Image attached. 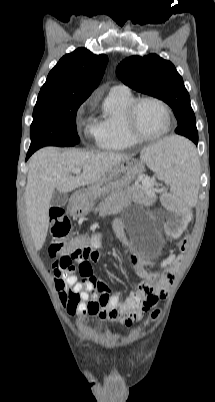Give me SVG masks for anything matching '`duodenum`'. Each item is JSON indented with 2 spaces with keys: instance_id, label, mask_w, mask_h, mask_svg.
<instances>
[{
  "instance_id": "410a0bca",
  "label": "duodenum",
  "mask_w": 215,
  "mask_h": 402,
  "mask_svg": "<svg viewBox=\"0 0 215 402\" xmlns=\"http://www.w3.org/2000/svg\"><path fill=\"white\" fill-rule=\"evenodd\" d=\"M70 210H71V212H72L73 214L79 213V209H78V207H77L75 204H72V205H71Z\"/></svg>"
}]
</instances>
